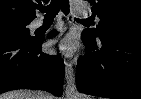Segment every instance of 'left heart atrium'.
<instances>
[{"label":"left heart atrium","instance_id":"obj_1","mask_svg":"<svg viewBox=\"0 0 141 99\" xmlns=\"http://www.w3.org/2000/svg\"><path fill=\"white\" fill-rule=\"evenodd\" d=\"M76 43L72 35L56 38L49 43V49L54 54L71 56L75 51Z\"/></svg>","mask_w":141,"mask_h":99}]
</instances>
